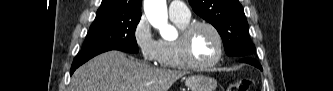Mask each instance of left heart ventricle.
Wrapping results in <instances>:
<instances>
[{
	"label": "left heart ventricle",
	"instance_id": "obj_1",
	"mask_svg": "<svg viewBox=\"0 0 333 91\" xmlns=\"http://www.w3.org/2000/svg\"><path fill=\"white\" fill-rule=\"evenodd\" d=\"M218 53V42L215 35L207 28H198L192 38V54L199 63L213 60Z\"/></svg>",
	"mask_w": 333,
	"mask_h": 91
}]
</instances>
